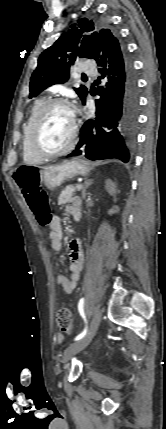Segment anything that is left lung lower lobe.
<instances>
[{"mask_svg": "<svg viewBox=\"0 0 166 429\" xmlns=\"http://www.w3.org/2000/svg\"><path fill=\"white\" fill-rule=\"evenodd\" d=\"M94 60L100 67L99 79L105 78L106 84L99 87L95 116L80 129V141L70 155L83 153L90 160L116 158L127 163L135 144L139 107L133 64L119 38L109 45L99 42Z\"/></svg>", "mask_w": 166, "mask_h": 429, "instance_id": "1", "label": "left lung lower lobe"}]
</instances>
